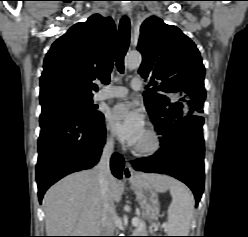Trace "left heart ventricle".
<instances>
[{
  "label": "left heart ventricle",
  "instance_id": "1",
  "mask_svg": "<svg viewBox=\"0 0 248 237\" xmlns=\"http://www.w3.org/2000/svg\"><path fill=\"white\" fill-rule=\"evenodd\" d=\"M149 141V138H148V135L147 133L144 134V136L142 137V139L138 142V146H141V145H145L146 143H148Z\"/></svg>",
  "mask_w": 248,
  "mask_h": 237
}]
</instances>
